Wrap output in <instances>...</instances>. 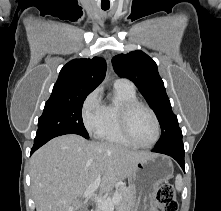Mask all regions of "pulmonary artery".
Masks as SVG:
<instances>
[{
    "instance_id": "e3ab8cb5",
    "label": "pulmonary artery",
    "mask_w": 221,
    "mask_h": 211,
    "mask_svg": "<svg viewBox=\"0 0 221 211\" xmlns=\"http://www.w3.org/2000/svg\"><path fill=\"white\" fill-rule=\"evenodd\" d=\"M114 86L124 87V88H128V89H134L133 83L130 80L126 79V78H117L114 81Z\"/></svg>"
}]
</instances>
